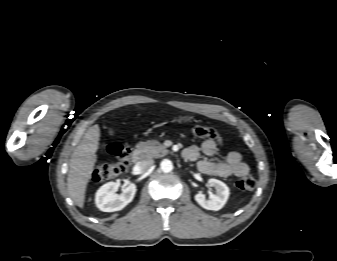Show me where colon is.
I'll list each match as a JSON object with an SVG mask.
<instances>
[{
  "mask_svg": "<svg viewBox=\"0 0 337 261\" xmlns=\"http://www.w3.org/2000/svg\"><path fill=\"white\" fill-rule=\"evenodd\" d=\"M192 134L202 140L221 142V135L213 128L207 126H194ZM108 153L115 159L113 163H99L92 172V178L96 182L106 181L116 178L123 174L130 164V149L120 143H111L108 146ZM240 191L252 190L255 186L254 178L246 174L239 178L235 183Z\"/></svg>",
  "mask_w": 337,
  "mask_h": 261,
  "instance_id": "1",
  "label": "colon"
}]
</instances>
